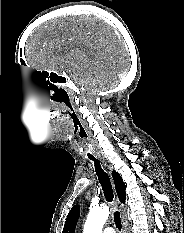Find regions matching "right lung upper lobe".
<instances>
[{"instance_id": "1", "label": "right lung upper lobe", "mask_w": 184, "mask_h": 233, "mask_svg": "<svg viewBox=\"0 0 184 233\" xmlns=\"http://www.w3.org/2000/svg\"><path fill=\"white\" fill-rule=\"evenodd\" d=\"M112 176H113V180L115 183L116 192L118 194L119 200L121 203H124L126 199V193H125L126 187H125L124 182L122 181V177L116 171L112 172ZM79 214H80V209H79V206L76 205L70 210L66 218L63 233H75V228H76V224L79 218Z\"/></svg>"}]
</instances>
